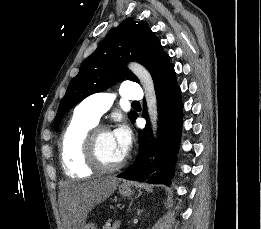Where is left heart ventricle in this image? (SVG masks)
<instances>
[{"label":"left heart ventricle","mask_w":261,"mask_h":229,"mask_svg":"<svg viewBox=\"0 0 261 229\" xmlns=\"http://www.w3.org/2000/svg\"><path fill=\"white\" fill-rule=\"evenodd\" d=\"M99 151L102 159L109 164L117 163L123 159L111 132H105L100 136Z\"/></svg>","instance_id":"1"}]
</instances>
